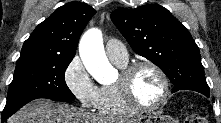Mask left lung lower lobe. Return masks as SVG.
Instances as JSON below:
<instances>
[{"instance_id": "left-lung-lower-lobe-1", "label": "left lung lower lobe", "mask_w": 221, "mask_h": 123, "mask_svg": "<svg viewBox=\"0 0 221 123\" xmlns=\"http://www.w3.org/2000/svg\"><path fill=\"white\" fill-rule=\"evenodd\" d=\"M205 96L209 97V94H206Z\"/></svg>"}]
</instances>
